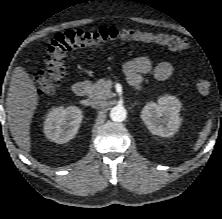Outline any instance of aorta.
<instances>
[{
    "label": "aorta",
    "instance_id": "aorta-1",
    "mask_svg": "<svg viewBox=\"0 0 222 219\" xmlns=\"http://www.w3.org/2000/svg\"><path fill=\"white\" fill-rule=\"evenodd\" d=\"M126 109L123 106L117 105L110 111V118L114 122H122L126 119Z\"/></svg>",
    "mask_w": 222,
    "mask_h": 219
}]
</instances>
